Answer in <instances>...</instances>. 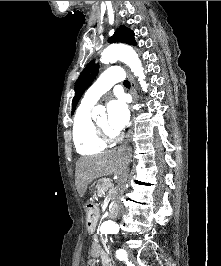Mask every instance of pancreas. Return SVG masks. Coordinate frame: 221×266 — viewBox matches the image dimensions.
<instances>
[{
	"label": "pancreas",
	"mask_w": 221,
	"mask_h": 266,
	"mask_svg": "<svg viewBox=\"0 0 221 266\" xmlns=\"http://www.w3.org/2000/svg\"><path fill=\"white\" fill-rule=\"evenodd\" d=\"M113 184L110 179H100L97 184V195L99 197H105V192L107 191L108 188H112ZM116 193H112V199H115Z\"/></svg>",
	"instance_id": "pancreas-1"
}]
</instances>
